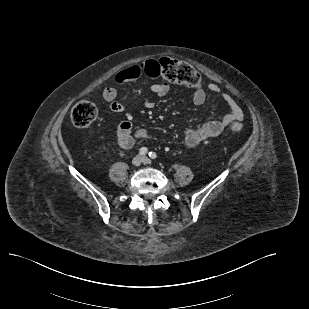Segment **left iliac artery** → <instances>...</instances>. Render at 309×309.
Listing matches in <instances>:
<instances>
[{
	"mask_svg": "<svg viewBox=\"0 0 309 309\" xmlns=\"http://www.w3.org/2000/svg\"><path fill=\"white\" fill-rule=\"evenodd\" d=\"M149 157H150L151 159H155V158L157 157V154H156L155 152H150V153H149Z\"/></svg>",
	"mask_w": 309,
	"mask_h": 309,
	"instance_id": "left-iliac-artery-1",
	"label": "left iliac artery"
}]
</instances>
